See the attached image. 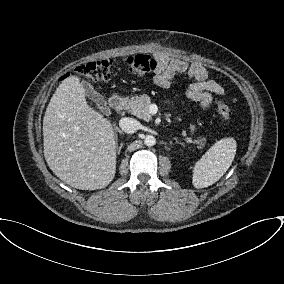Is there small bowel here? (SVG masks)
Masks as SVG:
<instances>
[{
	"mask_svg": "<svg viewBox=\"0 0 284 284\" xmlns=\"http://www.w3.org/2000/svg\"><path fill=\"white\" fill-rule=\"evenodd\" d=\"M158 67L153 81L160 88H168L175 75L185 74L194 81L188 86L186 96L200 104L204 111H209L213 95H223V87L215 80L209 79L207 69L200 63H189L178 57L157 53ZM194 130V127L191 128Z\"/></svg>",
	"mask_w": 284,
	"mask_h": 284,
	"instance_id": "small-bowel-1",
	"label": "small bowel"
}]
</instances>
